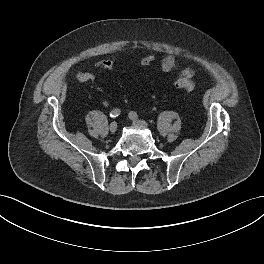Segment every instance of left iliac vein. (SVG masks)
<instances>
[{"mask_svg":"<svg viewBox=\"0 0 264 264\" xmlns=\"http://www.w3.org/2000/svg\"><path fill=\"white\" fill-rule=\"evenodd\" d=\"M133 125L138 127V128H147L148 127V125L145 121L137 120V119H133Z\"/></svg>","mask_w":264,"mask_h":264,"instance_id":"left-iliac-vein-1","label":"left iliac vein"}]
</instances>
